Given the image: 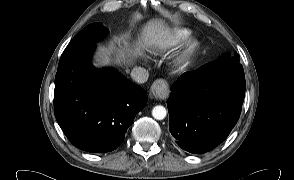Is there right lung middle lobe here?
Here are the masks:
<instances>
[{
	"mask_svg": "<svg viewBox=\"0 0 294 180\" xmlns=\"http://www.w3.org/2000/svg\"><path fill=\"white\" fill-rule=\"evenodd\" d=\"M107 33V29L100 23H94L82 31H80L68 44L63 54H67L76 50L89 46H95V43L103 38Z\"/></svg>",
	"mask_w": 294,
	"mask_h": 180,
	"instance_id": "obj_1",
	"label": "right lung middle lobe"
}]
</instances>
